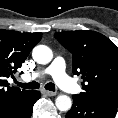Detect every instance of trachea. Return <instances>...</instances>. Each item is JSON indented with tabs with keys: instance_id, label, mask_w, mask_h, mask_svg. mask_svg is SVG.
<instances>
[{
	"instance_id": "obj_1",
	"label": "trachea",
	"mask_w": 118,
	"mask_h": 118,
	"mask_svg": "<svg viewBox=\"0 0 118 118\" xmlns=\"http://www.w3.org/2000/svg\"><path fill=\"white\" fill-rule=\"evenodd\" d=\"M17 86L22 87L24 89H38L40 87V84L38 82H29V83H20L18 81H15ZM45 89L49 91H55V85L53 83H47L45 84Z\"/></svg>"
}]
</instances>
